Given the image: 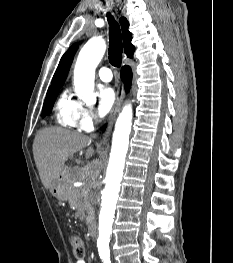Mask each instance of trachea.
I'll use <instances>...</instances> for the list:
<instances>
[{
  "mask_svg": "<svg viewBox=\"0 0 233 263\" xmlns=\"http://www.w3.org/2000/svg\"><path fill=\"white\" fill-rule=\"evenodd\" d=\"M107 19L109 22V62L114 67H120L122 62V36L118 23L114 20L113 16L108 13Z\"/></svg>",
  "mask_w": 233,
  "mask_h": 263,
  "instance_id": "3493384b",
  "label": "trachea"
}]
</instances>
